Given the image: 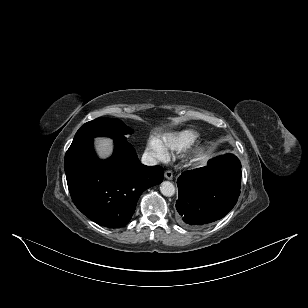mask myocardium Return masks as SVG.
Wrapping results in <instances>:
<instances>
[{
	"instance_id": "myocardium-1",
	"label": "myocardium",
	"mask_w": 308,
	"mask_h": 308,
	"mask_svg": "<svg viewBox=\"0 0 308 308\" xmlns=\"http://www.w3.org/2000/svg\"><path fill=\"white\" fill-rule=\"evenodd\" d=\"M196 151H197L196 149H192L189 154L193 155L194 153H196Z\"/></svg>"
}]
</instances>
